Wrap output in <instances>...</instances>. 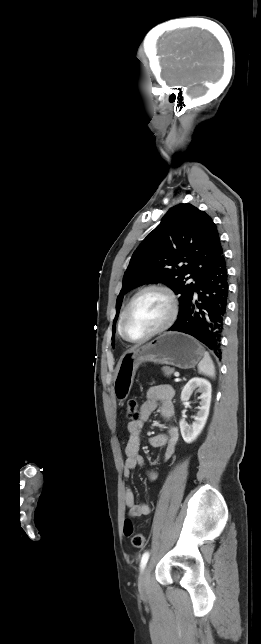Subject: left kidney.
<instances>
[{
  "instance_id": "5707ae66",
  "label": "left kidney",
  "mask_w": 261,
  "mask_h": 644,
  "mask_svg": "<svg viewBox=\"0 0 261 644\" xmlns=\"http://www.w3.org/2000/svg\"><path fill=\"white\" fill-rule=\"evenodd\" d=\"M196 388H198V392H200L201 395L198 397V399H200V406L198 407V412L194 417L195 421L192 425H189L185 419H181L179 423L182 438L186 443H192L198 437L202 432L209 415L212 389L208 380L204 378H192L189 380L181 392V400L183 402L188 401L190 395Z\"/></svg>"
}]
</instances>
